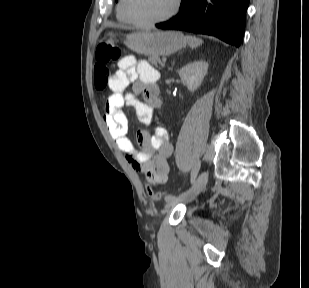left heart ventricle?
<instances>
[{"instance_id": "1", "label": "left heart ventricle", "mask_w": 309, "mask_h": 288, "mask_svg": "<svg viewBox=\"0 0 309 288\" xmlns=\"http://www.w3.org/2000/svg\"><path fill=\"white\" fill-rule=\"evenodd\" d=\"M174 0H128V11L138 21H151L166 15Z\"/></svg>"}]
</instances>
